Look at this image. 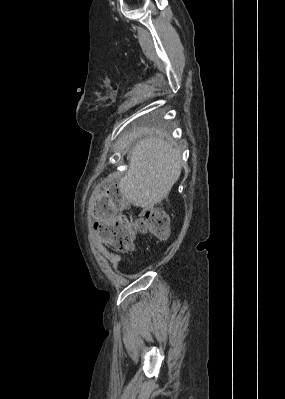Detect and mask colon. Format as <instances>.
Returning <instances> with one entry per match:
<instances>
[{"instance_id":"colon-1","label":"colon","mask_w":285,"mask_h":399,"mask_svg":"<svg viewBox=\"0 0 285 399\" xmlns=\"http://www.w3.org/2000/svg\"><path fill=\"white\" fill-rule=\"evenodd\" d=\"M120 196L114 187L101 189L90 203L99 239L118 253L131 252L138 233L165 238L169 234V220L164 209L152 206L140 209L135 216L117 213Z\"/></svg>"}]
</instances>
